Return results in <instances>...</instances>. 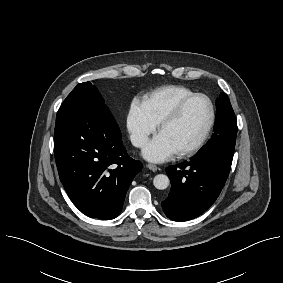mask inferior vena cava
<instances>
[{"mask_svg": "<svg viewBox=\"0 0 283 283\" xmlns=\"http://www.w3.org/2000/svg\"><path fill=\"white\" fill-rule=\"evenodd\" d=\"M147 141V138L142 135H133L131 137V142L136 147H143Z\"/></svg>", "mask_w": 283, "mask_h": 283, "instance_id": "obj_1", "label": "inferior vena cava"}]
</instances>
